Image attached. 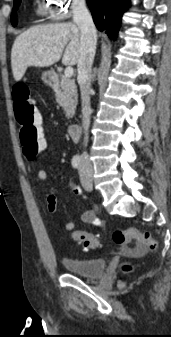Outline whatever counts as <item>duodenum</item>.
I'll list each match as a JSON object with an SVG mask.
<instances>
[{"label":"duodenum","instance_id":"410a0bca","mask_svg":"<svg viewBox=\"0 0 171 337\" xmlns=\"http://www.w3.org/2000/svg\"><path fill=\"white\" fill-rule=\"evenodd\" d=\"M51 78H52V82L54 84H57V79L55 77V75L52 73L50 74ZM68 134L70 135V137L74 140H79L80 139V133H81V126L77 123H73L70 124L68 126Z\"/></svg>","mask_w":171,"mask_h":337}]
</instances>
